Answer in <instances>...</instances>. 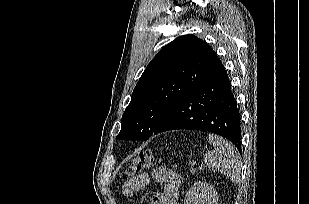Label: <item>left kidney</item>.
I'll return each mask as SVG.
<instances>
[{
    "mask_svg": "<svg viewBox=\"0 0 309 204\" xmlns=\"http://www.w3.org/2000/svg\"><path fill=\"white\" fill-rule=\"evenodd\" d=\"M184 204H218V194L213 186L198 182L187 192Z\"/></svg>",
    "mask_w": 309,
    "mask_h": 204,
    "instance_id": "obj_1",
    "label": "left kidney"
}]
</instances>
